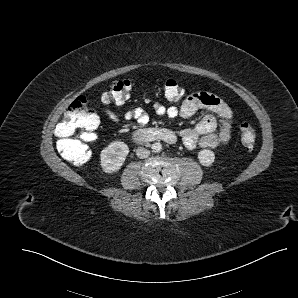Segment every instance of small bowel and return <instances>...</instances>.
Returning <instances> with one entry per match:
<instances>
[{
	"mask_svg": "<svg viewBox=\"0 0 298 298\" xmlns=\"http://www.w3.org/2000/svg\"><path fill=\"white\" fill-rule=\"evenodd\" d=\"M151 108L156 115L168 118H190L201 110L209 112L194 127L183 129L178 133L184 146L188 149H193L196 146L213 149L227 144L231 139L232 111L222 99L211 93H192L178 106H166L160 102H153ZM106 114L112 121L129 122L132 130L146 126L151 120L149 113L142 107L129 110L122 116L111 110H107Z\"/></svg>",
	"mask_w": 298,
	"mask_h": 298,
	"instance_id": "obj_1",
	"label": "small bowel"
}]
</instances>
